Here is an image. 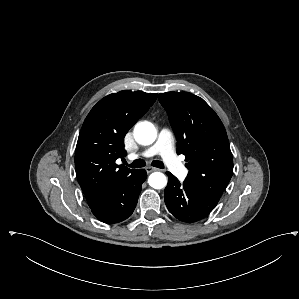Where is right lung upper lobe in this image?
<instances>
[{"label":"right lung upper lobe","instance_id":"obj_1","mask_svg":"<svg viewBox=\"0 0 299 299\" xmlns=\"http://www.w3.org/2000/svg\"><path fill=\"white\" fill-rule=\"evenodd\" d=\"M157 94L120 91L101 99L81 128L76 151L78 182L90 207L135 169L117 165L126 155L124 136L152 106Z\"/></svg>","mask_w":299,"mask_h":299}]
</instances>
